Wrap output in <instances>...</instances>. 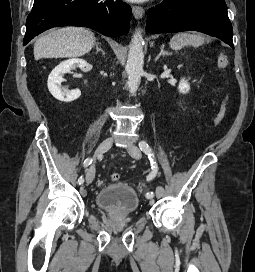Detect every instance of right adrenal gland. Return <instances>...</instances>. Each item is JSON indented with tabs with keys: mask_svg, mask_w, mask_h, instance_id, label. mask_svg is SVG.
Listing matches in <instances>:
<instances>
[{
	"mask_svg": "<svg viewBox=\"0 0 255 272\" xmlns=\"http://www.w3.org/2000/svg\"><path fill=\"white\" fill-rule=\"evenodd\" d=\"M96 51H97V53H99V52H102V54L103 55H105V53H104V51L101 49V47H100V43H96Z\"/></svg>",
	"mask_w": 255,
	"mask_h": 272,
	"instance_id": "right-adrenal-gland-1",
	"label": "right adrenal gland"
}]
</instances>
